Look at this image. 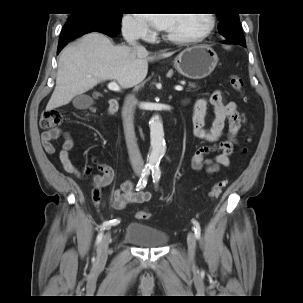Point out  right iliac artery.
Listing matches in <instances>:
<instances>
[{"instance_id": "right-iliac-artery-1", "label": "right iliac artery", "mask_w": 303, "mask_h": 303, "mask_svg": "<svg viewBox=\"0 0 303 303\" xmlns=\"http://www.w3.org/2000/svg\"><path fill=\"white\" fill-rule=\"evenodd\" d=\"M150 169L151 167L150 166H145V168L143 169L142 171V175H141V178L140 180L138 181V184H137V190H140V189H143L146 184H147V179H148V176L150 174ZM119 223V220L117 219H114V220H110V221H105L102 225H101V228H100V232L99 234L97 235V238H96V245H98L101 240H102V237H103V231L105 230V228L108 226V225H116Z\"/></svg>"}]
</instances>
